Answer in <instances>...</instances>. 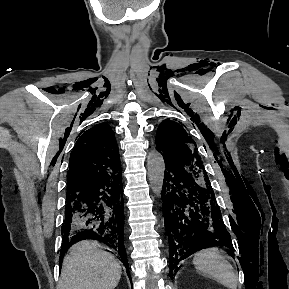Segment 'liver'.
<instances>
[{
  "label": "liver",
  "mask_w": 289,
  "mask_h": 289,
  "mask_svg": "<svg viewBox=\"0 0 289 289\" xmlns=\"http://www.w3.org/2000/svg\"><path fill=\"white\" fill-rule=\"evenodd\" d=\"M121 266L110 253L93 241L73 245L64 257L58 289H114Z\"/></svg>",
  "instance_id": "1"
}]
</instances>
